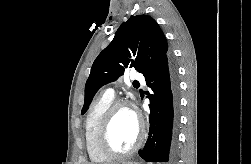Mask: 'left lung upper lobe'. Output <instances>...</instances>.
<instances>
[{"mask_svg":"<svg viewBox=\"0 0 251 164\" xmlns=\"http://www.w3.org/2000/svg\"><path fill=\"white\" fill-rule=\"evenodd\" d=\"M169 56L167 40L156 21L147 15L132 16L123 23L112 42L95 59L85 85L82 114L96 92L117 80L126 68H135L147 76Z\"/></svg>","mask_w":251,"mask_h":164,"instance_id":"1","label":"left lung upper lobe"}]
</instances>
